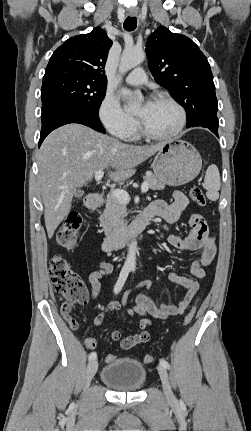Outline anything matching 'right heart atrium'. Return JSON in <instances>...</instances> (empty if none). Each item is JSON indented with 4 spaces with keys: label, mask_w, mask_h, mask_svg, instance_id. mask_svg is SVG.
I'll return each mask as SVG.
<instances>
[{
    "label": "right heart atrium",
    "mask_w": 251,
    "mask_h": 431,
    "mask_svg": "<svg viewBox=\"0 0 251 431\" xmlns=\"http://www.w3.org/2000/svg\"><path fill=\"white\" fill-rule=\"evenodd\" d=\"M98 115L105 129L114 136L128 139L135 133L137 127L135 118L127 113L119 101L110 94H106L102 99Z\"/></svg>",
    "instance_id": "d8ad5b80"
}]
</instances>
